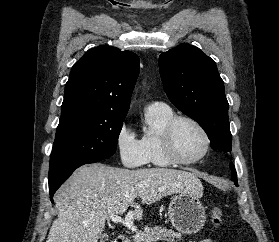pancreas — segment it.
I'll use <instances>...</instances> for the list:
<instances>
[{
    "instance_id": "pancreas-1",
    "label": "pancreas",
    "mask_w": 279,
    "mask_h": 242,
    "mask_svg": "<svg viewBox=\"0 0 279 242\" xmlns=\"http://www.w3.org/2000/svg\"><path fill=\"white\" fill-rule=\"evenodd\" d=\"M182 239L180 233L165 227L155 226L134 237L133 242H177Z\"/></svg>"
}]
</instances>
